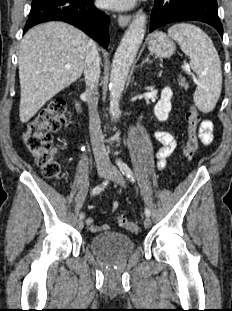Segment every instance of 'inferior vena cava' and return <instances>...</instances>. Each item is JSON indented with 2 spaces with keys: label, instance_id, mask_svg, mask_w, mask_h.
I'll return each mask as SVG.
<instances>
[{
  "label": "inferior vena cava",
  "instance_id": "602c4592",
  "mask_svg": "<svg viewBox=\"0 0 232 311\" xmlns=\"http://www.w3.org/2000/svg\"><path fill=\"white\" fill-rule=\"evenodd\" d=\"M100 57L97 45L93 40H89L86 47L84 76L86 83V95L89 106V131L93 153L97 166H110L108 152L104 145L100 118L97 112V88L100 77Z\"/></svg>",
  "mask_w": 232,
  "mask_h": 311
}]
</instances>
